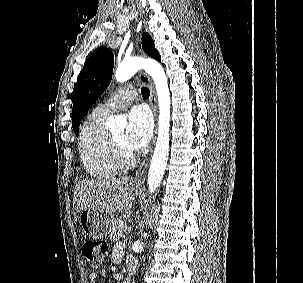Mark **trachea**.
I'll list each match as a JSON object with an SVG mask.
<instances>
[{
    "mask_svg": "<svg viewBox=\"0 0 303 283\" xmlns=\"http://www.w3.org/2000/svg\"><path fill=\"white\" fill-rule=\"evenodd\" d=\"M141 94L144 98H149L150 90L147 87H142L141 88Z\"/></svg>",
    "mask_w": 303,
    "mask_h": 283,
    "instance_id": "1",
    "label": "trachea"
}]
</instances>
